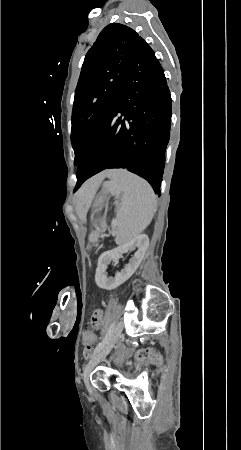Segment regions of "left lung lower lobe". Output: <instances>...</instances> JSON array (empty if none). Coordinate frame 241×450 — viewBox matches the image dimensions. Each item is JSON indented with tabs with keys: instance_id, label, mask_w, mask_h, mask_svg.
<instances>
[{
	"instance_id": "obj_1",
	"label": "left lung lower lobe",
	"mask_w": 241,
	"mask_h": 450,
	"mask_svg": "<svg viewBox=\"0 0 241 450\" xmlns=\"http://www.w3.org/2000/svg\"><path fill=\"white\" fill-rule=\"evenodd\" d=\"M170 125V91L147 44L135 50L118 102L89 139L78 163L75 190L104 169L126 168L159 193Z\"/></svg>"
}]
</instances>
